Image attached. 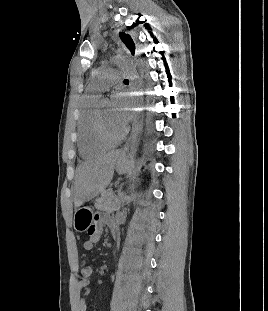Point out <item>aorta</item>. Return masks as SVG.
<instances>
[{"instance_id": "1", "label": "aorta", "mask_w": 268, "mask_h": 311, "mask_svg": "<svg viewBox=\"0 0 268 311\" xmlns=\"http://www.w3.org/2000/svg\"><path fill=\"white\" fill-rule=\"evenodd\" d=\"M114 65L124 69V73L131 83L132 97H131V121L130 128L132 129L129 138L128 158L134 159L139 145V136L142 125V100H143V87L141 74L136 65H130L129 60L124 56L115 57L113 60ZM130 173V169H128Z\"/></svg>"}]
</instances>
